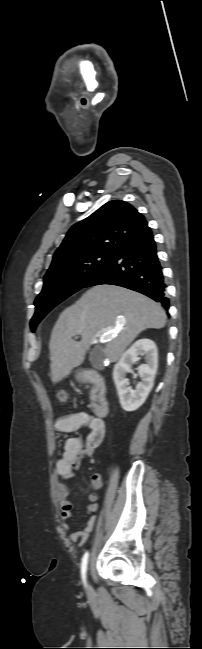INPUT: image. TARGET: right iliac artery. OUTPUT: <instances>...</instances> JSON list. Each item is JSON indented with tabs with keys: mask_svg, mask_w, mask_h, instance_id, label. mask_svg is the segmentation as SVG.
I'll return each mask as SVG.
<instances>
[{
	"mask_svg": "<svg viewBox=\"0 0 202 649\" xmlns=\"http://www.w3.org/2000/svg\"><path fill=\"white\" fill-rule=\"evenodd\" d=\"M88 557L89 554L86 552L82 558V563H81V576H82V581L84 585H86V572H87V563H88Z\"/></svg>",
	"mask_w": 202,
	"mask_h": 649,
	"instance_id": "82829eb1",
	"label": "right iliac artery"
}]
</instances>
